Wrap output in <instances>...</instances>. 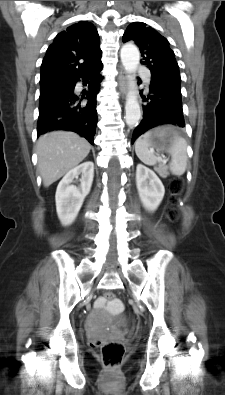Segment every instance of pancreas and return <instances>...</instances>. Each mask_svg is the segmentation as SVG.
Wrapping results in <instances>:
<instances>
[{
	"mask_svg": "<svg viewBox=\"0 0 225 395\" xmlns=\"http://www.w3.org/2000/svg\"><path fill=\"white\" fill-rule=\"evenodd\" d=\"M161 175H162L163 177H166V176H167V172L164 171V170H161Z\"/></svg>",
	"mask_w": 225,
	"mask_h": 395,
	"instance_id": "1",
	"label": "pancreas"
}]
</instances>
